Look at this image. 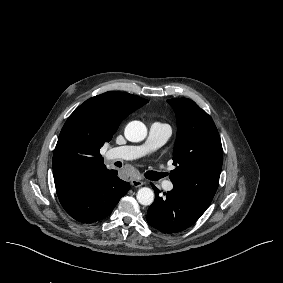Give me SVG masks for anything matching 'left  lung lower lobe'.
<instances>
[{
	"mask_svg": "<svg viewBox=\"0 0 283 283\" xmlns=\"http://www.w3.org/2000/svg\"><path fill=\"white\" fill-rule=\"evenodd\" d=\"M155 201L147 211V222L165 233H177L193 225L209 207L199 197L174 186L160 197V191L152 184Z\"/></svg>",
	"mask_w": 283,
	"mask_h": 283,
	"instance_id": "obj_1",
	"label": "left lung lower lobe"
}]
</instances>
